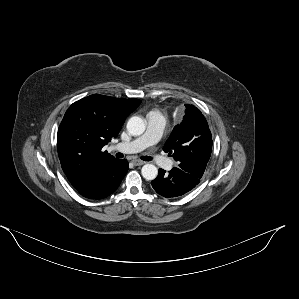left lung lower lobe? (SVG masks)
Masks as SVG:
<instances>
[{
	"mask_svg": "<svg viewBox=\"0 0 299 299\" xmlns=\"http://www.w3.org/2000/svg\"><path fill=\"white\" fill-rule=\"evenodd\" d=\"M199 182L200 178L185 172L179 167H174L169 173L159 169L157 178L151 183L158 194L165 198H172L189 192Z\"/></svg>",
	"mask_w": 299,
	"mask_h": 299,
	"instance_id": "0a47b994",
	"label": "left lung lower lobe"
}]
</instances>
